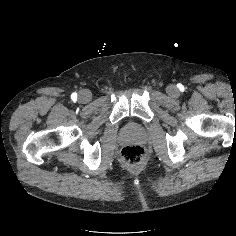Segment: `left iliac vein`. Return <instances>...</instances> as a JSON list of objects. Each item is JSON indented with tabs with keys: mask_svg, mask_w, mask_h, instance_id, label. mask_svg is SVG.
Segmentation results:
<instances>
[{
	"mask_svg": "<svg viewBox=\"0 0 236 236\" xmlns=\"http://www.w3.org/2000/svg\"><path fill=\"white\" fill-rule=\"evenodd\" d=\"M166 92L167 94L172 97V98H176L179 96L180 92L179 90L177 89V87L175 85H169L167 88H166Z\"/></svg>",
	"mask_w": 236,
	"mask_h": 236,
	"instance_id": "left-iliac-vein-1",
	"label": "left iliac vein"
}]
</instances>
